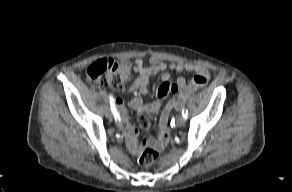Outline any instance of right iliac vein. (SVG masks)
Returning a JSON list of instances; mask_svg holds the SVG:
<instances>
[{
	"label": "right iliac vein",
	"instance_id": "right-iliac-vein-1",
	"mask_svg": "<svg viewBox=\"0 0 292 192\" xmlns=\"http://www.w3.org/2000/svg\"><path fill=\"white\" fill-rule=\"evenodd\" d=\"M105 115H106V117L109 118V119L112 118V113H111L110 110H107V111L105 112Z\"/></svg>",
	"mask_w": 292,
	"mask_h": 192
}]
</instances>
